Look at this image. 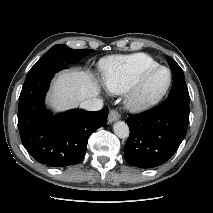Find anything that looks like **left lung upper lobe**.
Wrapping results in <instances>:
<instances>
[{
    "mask_svg": "<svg viewBox=\"0 0 213 213\" xmlns=\"http://www.w3.org/2000/svg\"><path fill=\"white\" fill-rule=\"evenodd\" d=\"M168 63L173 74V85L170 90L169 96H178L189 99V92L182 69L171 58H168Z\"/></svg>",
    "mask_w": 213,
    "mask_h": 213,
    "instance_id": "left-lung-upper-lobe-1",
    "label": "left lung upper lobe"
}]
</instances>
